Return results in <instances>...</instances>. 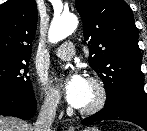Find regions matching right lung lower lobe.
Wrapping results in <instances>:
<instances>
[{
  "mask_svg": "<svg viewBox=\"0 0 147 131\" xmlns=\"http://www.w3.org/2000/svg\"><path fill=\"white\" fill-rule=\"evenodd\" d=\"M35 111L36 101L34 92L27 96L0 92V115L28 120Z\"/></svg>",
  "mask_w": 147,
  "mask_h": 131,
  "instance_id": "1",
  "label": "right lung lower lobe"
}]
</instances>
